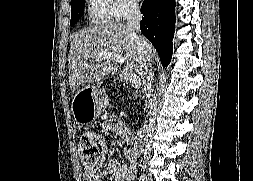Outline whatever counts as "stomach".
I'll list each match as a JSON object with an SVG mask.
<instances>
[{
  "label": "stomach",
  "mask_w": 253,
  "mask_h": 181,
  "mask_svg": "<svg viewBox=\"0 0 253 181\" xmlns=\"http://www.w3.org/2000/svg\"><path fill=\"white\" fill-rule=\"evenodd\" d=\"M82 98H85L82 101ZM108 105V96L104 87L96 85L82 89L73 100V115L76 121L87 123L101 115Z\"/></svg>",
  "instance_id": "stomach-1"
}]
</instances>
